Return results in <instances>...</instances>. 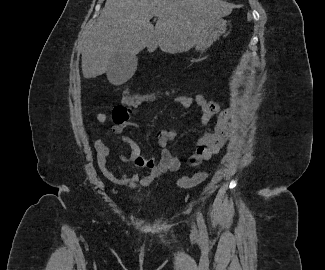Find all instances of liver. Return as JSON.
I'll return each instance as SVG.
<instances>
[{
  "label": "liver",
  "instance_id": "liver-1",
  "mask_svg": "<svg viewBox=\"0 0 325 270\" xmlns=\"http://www.w3.org/2000/svg\"><path fill=\"white\" fill-rule=\"evenodd\" d=\"M231 12L232 6L222 0H106L83 42V76L102 75L111 68L114 55L135 57L145 47L183 53L197 46L217 19ZM153 16H158L155 27L150 23ZM132 75L107 77L110 83L121 85Z\"/></svg>",
  "mask_w": 325,
  "mask_h": 270
}]
</instances>
